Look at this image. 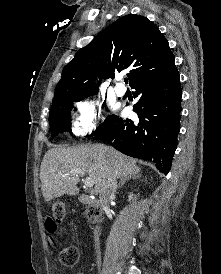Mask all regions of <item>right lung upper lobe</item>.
<instances>
[{"mask_svg": "<svg viewBox=\"0 0 221 274\" xmlns=\"http://www.w3.org/2000/svg\"><path fill=\"white\" fill-rule=\"evenodd\" d=\"M174 58L167 39L147 18L128 14L81 48L64 67L54 99L95 94L96 77L105 79L129 71V84L166 65ZM100 83V82H99Z\"/></svg>", "mask_w": 221, "mask_h": 274, "instance_id": "1", "label": "right lung upper lobe"}]
</instances>
